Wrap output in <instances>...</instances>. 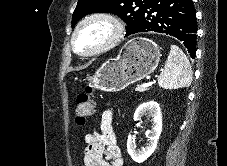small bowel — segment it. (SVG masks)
<instances>
[{
	"mask_svg": "<svg viewBox=\"0 0 227 166\" xmlns=\"http://www.w3.org/2000/svg\"><path fill=\"white\" fill-rule=\"evenodd\" d=\"M113 112L102 111L98 127L85 136L83 162L85 166H123L121 151L112 125Z\"/></svg>",
	"mask_w": 227,
	"mask_h": 166,
	"instance_id": "small-bowel-1",
	"label": "small bowel"
}]
</instances>
